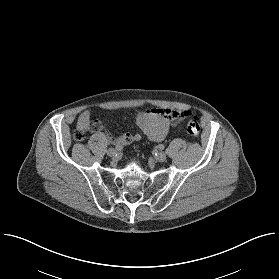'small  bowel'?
<instances>
[{"mask_svg":"<svg viewBox=\"0 0 279 279\" xmlns=\"http://www.w3.org/2000/svg\"><path fill=\"white\" fill-rule=\"evenodd\" d=\"M192 116L187 110H172L167 108L154 109L140 113L137 116V124L141 131L151 140L163 141L172 126ZM78 126L87 127L91 131H101L104 125L100 121H91V112L83 111L78 118ZM110 142L118 146H127L141 140L140 133H124L118 136L108 134Z\"/></svg>","mask_w":279,"mask_h":279,"instance_id":"c3829d8e","label":"small bowel"}]
</instances>
